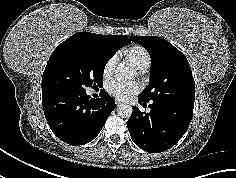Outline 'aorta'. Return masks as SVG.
Listing matches in <instances>:
<instances>
[{"instance_id":"762f6f07","label":"aorta","mask_w":236,"mask_h":178,"mask_svg":"<svg viewBox=\"0 0 236 178\" xmlns=\"http://www.w3.org/2000/svg\"><path fill=\"white\" fill-rule=\"evenodd\" d=\"M115 78L119 81L132 78L133 73L128 65L120 63L115 69ZM132 107L128 104H120L117 107V114L122 118H129L132 114Z\"/></svg>"}]
</instances>
